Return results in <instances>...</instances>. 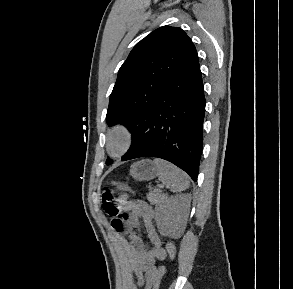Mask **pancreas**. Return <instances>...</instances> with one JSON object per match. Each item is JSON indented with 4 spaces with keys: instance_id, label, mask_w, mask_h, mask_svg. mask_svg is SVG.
I'll return each instance as SVG.
<instances>
[{
    "instance_id": "1",
    "label": "pancreas",
    "mask_w": 293,
    "mask_h": 289,
    "mask_svg": "<svg viewBox=\"0 0 293 289\" xmlns=\"http://www.w3.org/2000/svg\"><path fill=\"white\" fill-rule=\"evenodd\" d=\"M164 194L158 189H155L147 194V199L151 204H158L164 199Z\"/></svg>"
}]
</instances>
